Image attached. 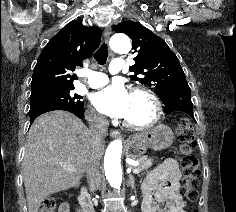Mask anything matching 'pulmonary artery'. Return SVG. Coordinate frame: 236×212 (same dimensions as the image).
I'll use <instances>...</instances> for the list:
<instances>
[{
  "label": "pulmonary artery",
  "mask_w": 236,
  "mask_h": 212,
  "mask_svg": "<svg viewBox=\"0 0 236 212\" xmlns=\"http://www.w3.org/2000/svg\"><path fill=\"white\" fill-rule=\"evenodd\" d=\"M123 65H124L123 60L121 58H116L111 63L109 70L113 74L118 73L119 71L122 70ZM86 75L88 77L87 84L92 88L101 87L108 82L107 75L101 72L89 71L86 73Z\"/></svg>",
  "instance_id": "obj_1"
}]
</instances>
